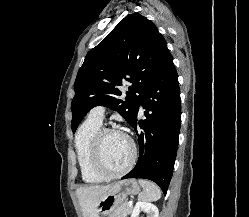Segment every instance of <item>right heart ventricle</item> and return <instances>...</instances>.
I'll list each match as a JSON object with an SVG mask.
<instances>
[{"label": "right heart ventricle", "instance_id": "right-heart-ventricle-1", "mask_svg": "<svg viewBox=\"0 0 249 217\" xmlns=\"http://www.w3.org/2000/svg\"><path fill=\"white\" fill-rule=\"evenodd\" d=\"M102 127V122L88 116L80 125L75 136V151L77 162L84 182L97 184L105 179L97 174L91 163L92 142L97 131Z\"/></svg>", "mask_w": 249, "mask_h": 217}]
</instances>
